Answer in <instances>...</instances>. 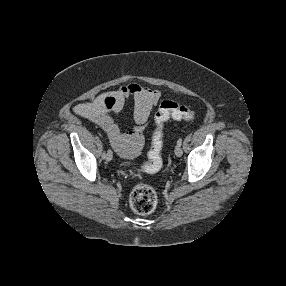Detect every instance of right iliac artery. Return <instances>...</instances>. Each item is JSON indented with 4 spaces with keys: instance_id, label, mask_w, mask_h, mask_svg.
<instances>
[{
    "instance_id": "obj_1",
    "label": "right iliac artery",
    "mask_w": 286,
    "mask_h": 286,
    "mask_svg": "<svg viewBox=\"0 0 286 286\" xmlns=\"http://www.w3.org/2000/svg\"><path fill=\"white\" fill-rule=\"evenodd\" d=\"M102 158L105 159L106 158V151H104Z\"/></svg>"
}]
</instances>
